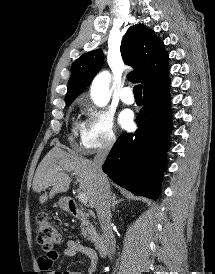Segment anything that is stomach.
Masks as SVG:
<instances>
[{
  "label": "stomach",
  "mask_w": 215,
  "mask_h": 274,
  "mask_svg": "<svg viewBox=\"0 0 215 274\" xmlns=\"http://www.w3.org/2000/svg\"><path fill=\"white\" fill-rule=\"evenodd\" d=\"M59 205L62 209H66V204H65V200L64 199H60L59 201Z\"/></svg>",
  "instance_id": "stomach-1"
}]
</instances>
